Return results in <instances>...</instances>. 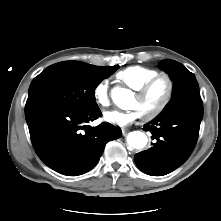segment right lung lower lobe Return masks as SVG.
I'll list each match as a JSON object with an SVG mask.
<instances>
[{
  "label": "right lung lower lobe",
  "instance_id": "1",
  "mask_svg": "<svg viewBox=\"0 0 221 221\" xmlns=\"http://www.w3.org/2000/svg\"><path fill=\"white\" fill-rule=\"evenodd\" d=\"M102 116L98 108L79 111L51 103L25 106L31 141L39 158L51 169L68 176L91 170L107 142L121 137L120 129L104 122L87 125Z\"/></svg>",
  "mask_w": 221,
  "mask_h": 221
}]
</instances>
